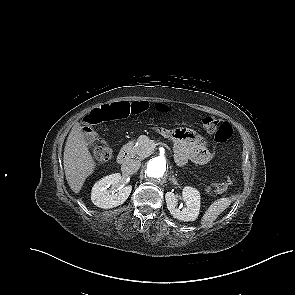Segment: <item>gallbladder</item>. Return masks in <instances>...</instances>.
Listing matches in <instances>:
<instances>
[{
  "label": "gallbladder",
  "instance_id": "obj_1",
  "mask_svg": "<svg viewBox=\"0 0 295 295\" xmlns=\"http://www.w3.org/2000/svg\"><path fill=\"white\" fill-rule=\"evenodd\" d=\"M86 142L89 143L90 145H93L97 138H96V134L95 133H91L89 134L86 138H85Z\"/></svg>",
  "mask_w": 295,
  "mask_h": 295
}]
</instances>
